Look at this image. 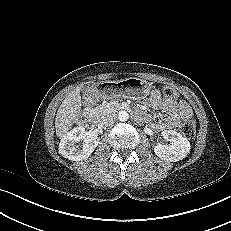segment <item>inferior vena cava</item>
Listing matches in <instances>:
<instances>
[{
    "instance_id": "1",
    "label": "inferior vena cava",
    "mask_w": 231,
    "mask_h": 231,
    "mask_svg": "<svg viewBox=\"0 0 231 231\" xmlns=\"http://www.w3.org/2000/svg\"><path fill=\"white\" fill-rule=\"evenodd\" d=\"M117 116L115 114H106L101 118V121L104 125L108 126V125H112L115 120H116Z\"/></svg>"
}]
</instances>
